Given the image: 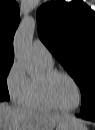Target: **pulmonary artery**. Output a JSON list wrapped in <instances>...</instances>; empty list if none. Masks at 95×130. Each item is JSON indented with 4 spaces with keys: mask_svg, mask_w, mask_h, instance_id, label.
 <instances>
[{
    "mask_svg": "<svg viewBox=\"0 0 95 130\" xmlns=\"http://www.w3.org/2000/svg\"><path fill=\"white\" fill-rule=\"evenodd\" d=\"M34 56L45 65H53V59L50 51L42 41L36 39L33 42Z\"/></svg>",
    "mask_w": 95,
    "mask_h": 130,
    "instance_id": "1",
    "label": "pulmonary artery"
}]
</instances>
